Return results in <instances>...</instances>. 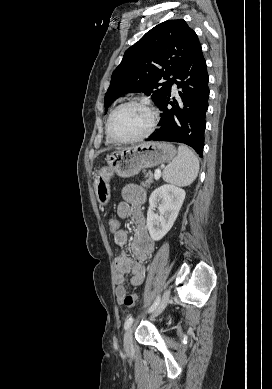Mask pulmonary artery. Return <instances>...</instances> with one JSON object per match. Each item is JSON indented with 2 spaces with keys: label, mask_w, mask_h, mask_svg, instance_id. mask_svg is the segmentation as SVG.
I'll use <instances>...</instances> for the list:
<instances>
[{
  "label": "pulmonary artery",
  "mask_w": 272,
  "mask_h": 389,
  "mask_svg": "<svg viewBox=\"0 0 272 389\" xmlns=\"http://www.w3.org/2000/svg\"><path fill=\"white\" fill-rule=\"evenodd\" d=\"M176 89H177V86H176V84H174L173 85V91H176Z\"/></svg>",
  "instance_id": "1"
}]
</instances>
